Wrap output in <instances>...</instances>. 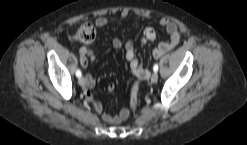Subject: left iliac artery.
Returning <instances> with one entry per match:
<instances>
[{"instance_id":"left-iliac-artery-1","label":"left iliac artery","mask_w":247,"mask_h":145,"mask_svg":"<svg viewBox=\"0 0 247 145\" xmlns=\"http://www.w3.org/2000/svg\"><path fill=\"white\" fill-rule=\"evenodd\" d=\"M153 71H154V72H157V71H158V64H155V65L153 66Z\"/></svg>"}]
</instances>
